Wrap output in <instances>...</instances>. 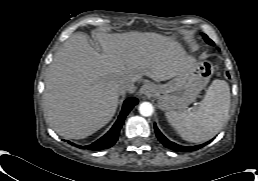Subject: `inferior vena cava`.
<instances>
[{
  "label": "inferior vena cava",
  "mask_w": 258,
  "mask_h": 181,
  "mask_svg": "<svg viewBox=\"0 0 258 181\" xmlns=\"http://www.w3.org/2000/svg\"><path fill=\"white\" fill-rule=\"evenodd\" d=\"M135 90H136V87L134 85V82L132 81H124L119 86V93L122 95L126 93H133L135 92Z\"/></svg>",
  "instance_id": "602c4592"
}]
</instances>
